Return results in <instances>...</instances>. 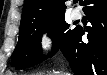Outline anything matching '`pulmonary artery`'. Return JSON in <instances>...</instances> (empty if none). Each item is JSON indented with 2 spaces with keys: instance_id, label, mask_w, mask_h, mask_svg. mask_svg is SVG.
<instances>
[{
  "instance_id": "1",
  "label": "pulmonary artery",
  "mask_w": 107,
  "mask_h": 75,
  "mask_svg": "<svg viewBox=\"0 0 107 75\" xmlns=\"http://www.w3.org/2000/svg\"><path fill=\"white\" fill-rule=\"evenodd\" d=\"M71 16H72L74 19L80 18V17H81V12H80V10H78V9H73V10L71 11Z\"/></svg>"
}]
</instances>
